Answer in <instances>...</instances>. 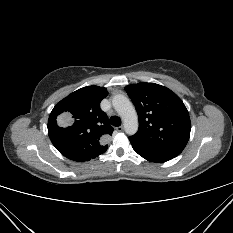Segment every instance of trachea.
<instances>
[{"instance_id": "obj_1", "label": "trachea", "mask_w": 233, "mask_h": 233, "mask_svg": "<svg viewBox=\"0 0 233 233\" xmlns=\"http://www.w3.org/2000/svg\"><path fill=\"white\" fill-rule=\"evenodd\" d=\"M110 123L113 125V126H120L121 125V119L118 117V116H112L110 118Z\"/></svg>"}]
</instances>
